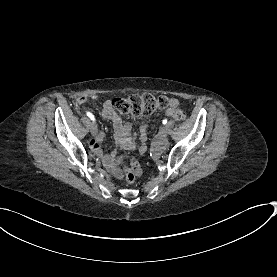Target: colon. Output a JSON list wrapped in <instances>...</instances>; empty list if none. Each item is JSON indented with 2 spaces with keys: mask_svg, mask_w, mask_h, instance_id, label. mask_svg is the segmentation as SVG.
<instances>
[{
  "mask_svg": "<svg viewBox=\"0 0 277 277\" xmlns=\"http://www.w3.org/2000/svg\"><path fill=\"white\" fill-rule=\"evenodd\" d=\"M111 101L116 110L122 115H149L164 110L168 106V101L164 96L151 93L132 95L128 98L114 97ZM174 117L177 121H182L185 118V113L182 110H176ZM138 172L139 165L135 161H132V168H124L125 177L129 183L134 181L135 174Z\"/></svg>",
  "mask_w": 277,
  "mask_h": 277,
  "instance_id": "colon-1",
  "label": "colon"
}]
</instances>
